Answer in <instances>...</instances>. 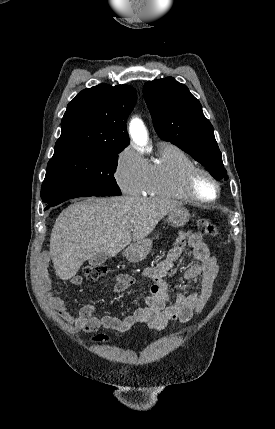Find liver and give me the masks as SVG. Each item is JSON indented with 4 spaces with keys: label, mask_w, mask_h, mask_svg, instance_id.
<instances>
[{
    "label": "liver",
    "mask_w": 275,
    "mask_h": 429,
    "mask_svg": "<svg viewBox=\"0 0 275 429\" xmlns=\"http://www.w3.org/2000/svg\"><path fill=\"white\" fill-rule=\"evenodd\" d=\"M179 202L158 198L91 197L71 204L57 217L50 237L56 275L74 277L97 253L116 256L131 241L146 239Z\"/></svg>",
    "instance_id": "obj_1"
}]
</instances>
